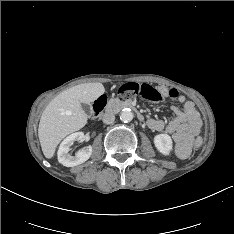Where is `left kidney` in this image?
<instances>
[{
  "label": "left kidney",
  "instance_id": "obj_1",
  "mask_svg": "<svg viewBox=\"0 0 234 234\" xmlns=\"http://www.w3.org/2000/svg\"><path fill=\"white\" fill-rule=\"evenodd\" d=\"M157 150L163 155H169L173 149V142L168 134H158L154 137Z\"/></svg>",
  "mask_w": 234,
  "mask_h": 234
}]
</instances>
